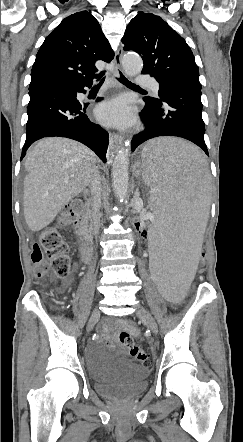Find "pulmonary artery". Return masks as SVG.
Wrapping results in <instances>:
<instances>
[{
  "label": "pulmonary artery",
  "mask_w": 243,
  "mask_h": 442,
  "mask_svg": "<svg viewBox=\"0 0 243 442\" xmlns=\"http://www.w3.org/2000/svg\"><path fill=\"white\" fill-rule=\"evenodd\" d=\"M139 84L146 85L153 94H158L159 92V85L155 81L148 79H140Z\"/></svg>",
  "instance_id": "obj_1"
}]
</instances>
